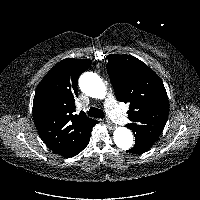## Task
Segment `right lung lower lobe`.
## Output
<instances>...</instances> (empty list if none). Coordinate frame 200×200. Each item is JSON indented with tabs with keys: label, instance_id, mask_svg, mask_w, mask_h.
<instances>
[{
	"label": "right lung lower lobe",
	"instance_id": "98d812e1",
	"mask_svg": "<svg viewBox=\"0 0 200 200\" xmlns=\"http://www.w3.org/2000/svg\"><path fill=\"white\" fill-rule=\"evenodd\" d=\"M92 128L90 129V131L88 132L87 136L85 137L84 141L82 142L80 148L78 149L77 154H79L89 143L90 141V134H91Z\"/></svg>",
	"mask_w": 200,
	"mask_h": 200
}]
</instances>
